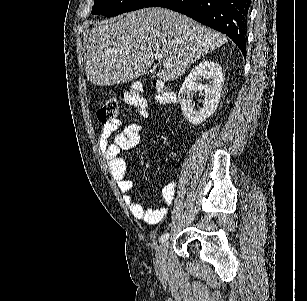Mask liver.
Segmentation results:
<instances>
[{
    "mask_svg": "<svg viewBox=\"0 0 307 301\" xmlns=\"http://www.w3.org/2000/svg\"><path fill=\"white\" fill-rule=\"evenodd\" d=\"M227 40L225 34L180 12L161 6L141 8L126 12L124 18L95 22L88 38L85 70L93 84H122L147 74L157 60L155 54H161L170 66L159 68L155 76L175 80Z\"/></svg>",
    "mask_w": 307,
    "mask_h": 301,
    "instance_id": "6515ba94",
    "label": "liver"
}]
</instances>
